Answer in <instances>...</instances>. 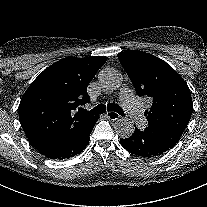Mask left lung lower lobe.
<instances>
[{"label":"left lung lower lobe","mask_w":207,"mask_h":207,"mask_svg":"<svg viewBox=\"0 0 207 207\" xmlns=\"http://www.w3.org/2000/svg\"><path fill=\"white\" fill-rule=\"evenodd\" d=\"M121 145L129 152L141 157H154L171 149L164 142L147 131L135 127L131 137L120 139Z\"/></svg>","instance_id":"1"}]
</instances>
